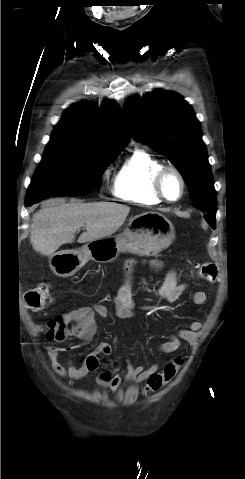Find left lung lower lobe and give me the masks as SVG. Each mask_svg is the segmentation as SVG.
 Masks as SVG:
<instances>
[{
	"instance_id": "left-lung-lower-lobe-1",
	"label": "left lung lower lobe",
	"mask_w": 245,
	"mask_h": 479,
	"mask_svg": "<svg viewBox=\"0 0 245 479\" xmlns=\"http://www.w3.org/2000/svg\"><path fill=\"white\" fill-rule=\"evenodd\" d=\"M206 221L215 229V211L208 212L207 216L205 217Z\"/></svg>"
}]
</instances>
